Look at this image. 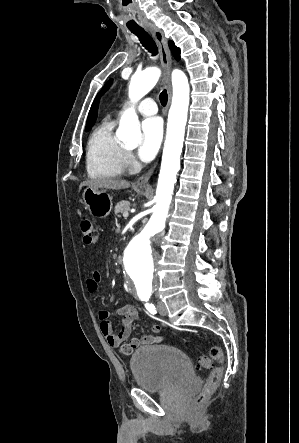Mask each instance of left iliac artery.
<instances>
[{
  "instance_id": "obj_1",
  "label": "left iliac artery",
  "mask_w": 299,
  "mask_h": 443,
  "mask_svg": "<svg viewBox=\"0 0 299 443\" xmlns=\"http://www.w3.org/2000/svg\"><path fill=\"white\" fill-rule=\"evenodd\" d=\"M148 300H149V299H143V301L146 302V303H145V307H146V309H147L151 314H156L157 311H156L155 306H154L152 303H149Z\"/></svg>"
}]
</instances>
